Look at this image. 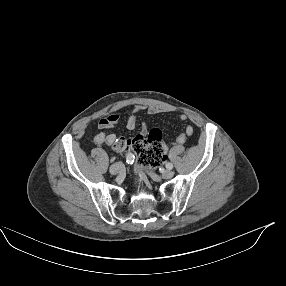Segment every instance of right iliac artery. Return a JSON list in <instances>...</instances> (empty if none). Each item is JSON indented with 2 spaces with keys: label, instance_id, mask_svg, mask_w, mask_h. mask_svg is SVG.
Returning <instances> with one entry per match:
<instances>
[{
  "label": "right iliac artery",
  "instance_id": "obj_1",
  "mask_svg": "<svg viewBox=\"0 0 286 286\" xmlns=\"http://www.w3.org/2000/svg\"><path fill=\"white\" fill-rule=\"evenodd\" d=\"M135 156L132 153H128L126 156V162L128 164H133Z\"/></svg>",
  "mask_w": 286,
  "mask_h": 286
}]
</instances>
